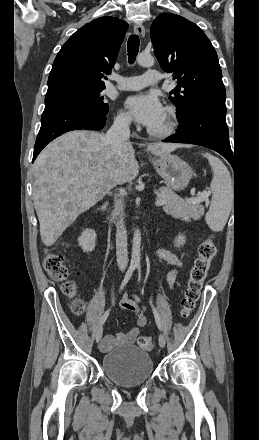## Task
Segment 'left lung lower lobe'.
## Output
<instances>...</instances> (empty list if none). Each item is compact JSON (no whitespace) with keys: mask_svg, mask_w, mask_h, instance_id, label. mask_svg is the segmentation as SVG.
Returning a JSON list of instances; mask_svg holds the SVG:
<instances>
[{"mask_svg":"<svg viewBox=\"0 0 259 440\" xmlns=\"http://www.w3.org/2000/svg\"><path fill=\"white\" fill-rule=\"evenodd\" d=\"M178 122L177 133L164 139L163 142L188 143L207 147L220 153L233 166L224 104L213 101L200 102Z\"/></svg>","mask_w":259,"mask_h":440,"instance_id":"obj_1","label":"left lung lower lobe"}]
</instances>
